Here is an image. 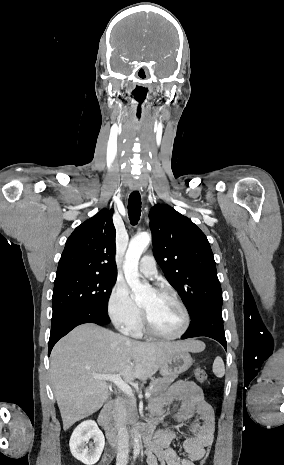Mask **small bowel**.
I'll use <instances>...</instances> for the list:
<instances>
[{
	"label": "small bowel",
	"mask_w": 284,
	"mask_h": 465,
	"mask_svg": "<svg viewBox=\"0 0 284 465\" xmlns=\"http://www.w3.org/2000/svg\"><path fill=\"white\" fill-rule=\"evenodd\" d=\"M174 403L177 406L169 410ZM167 417H171L173 422L157 429V425ZM185 423H188L190 435L183 440L184 455H180L171 443L179 426ZM146 429L150 432L146 443L147 465H195L213 443L214 412L199 385L192 381H177L153 403Z\"/></svg>",
	"instance_id": "c3829d8e"
}]
</instances>
